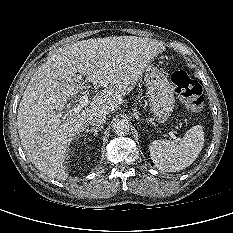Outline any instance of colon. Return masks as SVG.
<instances>
[{"mask_svg":"<svg viewBox=\"0 0 233 233\" xmlns=\"http://www.w3.org/2000/svg\"><path fill=\"white\" fill-rule=\"evenodd\" d=\"M171 79L177 94L186 106L192 112H201L204 108L202 87L180 68H175L173 70Z\"/></svg>","mask_w":233,"mask_h":233,"instance_id":"5ec220e1","label":"colon"}]
</instances>
